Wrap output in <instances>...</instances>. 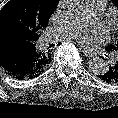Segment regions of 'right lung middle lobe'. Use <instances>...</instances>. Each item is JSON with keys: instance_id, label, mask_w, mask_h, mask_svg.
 I'll return each mask as SVG.
<instances>
[{"instance_id": "right-lung-middle-lobe-1", "label": "right lung middle lobe", "mask_w": 118, "mask_h": 118, "mask_svg": "<svg viewBox=\"0 0 118 118\" xmlns=\"http://www.w3.org/2000/svg\"><path fill=\"white\" fill-rule=\"evenodd\" d=\"M0 23L11 26L23 39L44 27L35 0H10L0 11Z\"/></svg>"}]
</instances>
